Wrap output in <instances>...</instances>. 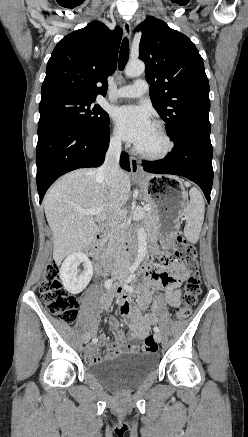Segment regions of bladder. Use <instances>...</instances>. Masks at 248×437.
I'll list each match as a JSON object with an SVG mask.
<instances>
[{"instance_id":"obj_1","label":"bladder","mask_w":248,"mask_h":437,"mask_svg":"<svg viewBox=\"0 0 248 437\" xmlns=\"http://www.w3.org/2000/svg\"><path fill=\"white\" fill-rule=\"evenodd\" d=\"M157 366L154 353H127L87 368V373L106 388L122 392L137 387Z\"/></svg>"}]
</instances>
